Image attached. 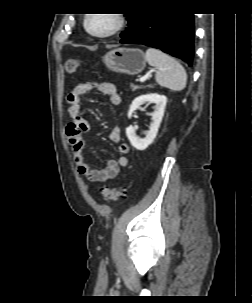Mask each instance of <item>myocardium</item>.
<instances>
[{"instance_id": "myocardium-1", "label": "myocardium", "mask_w": 252, "mask_h": 303, "mask_svg": "<svg viewBox=\"0 0 252 303\" xmlns=\"http://www.w3.org/2000/svg\"><path fill=\"white\" fill-rule=\"evenodd\" d=\"M94 15H100V14H89L84 18L83 21V27L87 31L89 35L96 38H106L115 35L118 33L125 25V18L124 15L113 13V14H107L111 15L113 17V24L105 30L102 31H95L92 30L89 26V21Z\"/></svg>"}]
</instances>
